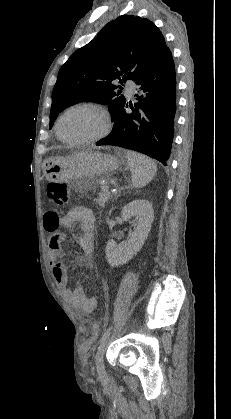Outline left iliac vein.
<instances>
[{
  "label": "left iliac vein",
  "mask_w": 231,
  "mask_h": 419,
  "mask_svg": "<svg viewBox=\"0 0 231 419\" xmlns=\"http://www.w3.org/2000/svg\"><path fill=\"white\" fill-rule=\"evenodd\" d=\"M106 344H107V340H105V342L99 347V350L96 354V368H97L98 374L100 375L104 374L105 372L103 357H104Z\"/></svg>",
  "instance_id": "obj_1"
}]
</instances>
